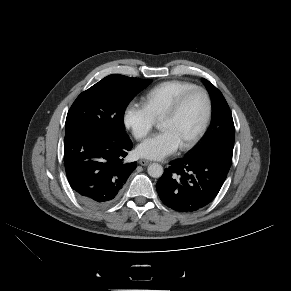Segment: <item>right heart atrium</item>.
Segmentation results:
<instances>
[{"mask_svg":"<svg viewBox=\"0 0 291 291\" xmlns=\"http://www.w3.org/2000/svg\"><path fill=\"white\" fill-rule=\"evenodd\" d=\"M123 123L135 139L142 140L153 129L155 120L143 105L132 102L124 109Z\"/></svg>","mask_w":291,"mask_h":291,"instance_id":"d8ad5b80","label":"right heart atrium"}]
</instances>
